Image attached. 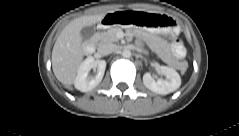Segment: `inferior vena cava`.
Segmentation results:
<instances>
[{
  "label": "inferior vena cava",
  "mask_w": 239,
  "mask_h": 136,
  "mask_svg": "<svg viewBox=\"0 0 239 136\" xmlns=\"http://www.w3.org/2000/svg\"><path fill=\"white\" fill-rule=\"evenodd\" d=\"M117 50V46L113 43H103L98 47V52L101 55H109Z\"/></svg>",
  "instance_id": "inferior-vena-cava-1"
}]
</instances>
